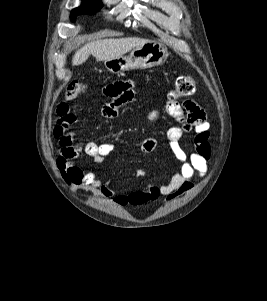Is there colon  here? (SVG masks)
<instances>
[{
    "instance_id": "colon-1",
    "label": "colon",
    "mask_w": 267,
    "mask_h": 301,
    "mask_svg": "<svg viewBox=\"0 0 267 301\" xmlns=\"http://www.w3.org/2000/svg\"><path fill=\"white\" fill-rule=\"evenodd\" d=\"M84 90V86L79 81L70 82L65 90V99L74 100ZM196 90V83L189 75H181L176 79L173 90L170 93V99L186 98L191 96Z\"/></svg>"
}]
</instances>
